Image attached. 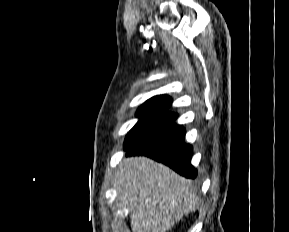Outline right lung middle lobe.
<instances>
[{"instance_id": "obj_1", "label": "right lung middle lobe", "mask_w": 289, "mask_h": 232, "mask_svg": "<svg viewBox=\"0 0 289 232\" xmlns=\"http://www.w3.org/2000/svg\"><path fill=\"white\" fill-rule=\"evenodd\" d=\"M136 115L139 117L137 124L128 133L124 147L130 146L157 130L174 122L178 114L168 112L163 108L142 105Z\"/></svg>"}]
</instances>
